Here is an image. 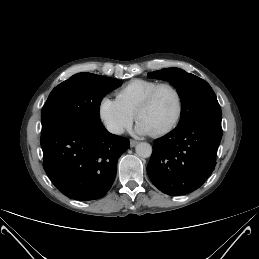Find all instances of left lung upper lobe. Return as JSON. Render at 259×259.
<instances>
[{
    "label": "left lung upper lobe",
    "instance_id": "5c2ea615",
    "mask_svg": "<svg viewBox=\"0 0 259 259\" xmlns=\"http://www.w3.org/2000/svg\"><path fill=\"white\" fill-rule=\"evenodd\" d=\"M148 76L167 80L181 99V117L177 127L197 120L221 123V109L210 85L203 79L179 68H168L148 73Z\"/></svg>",
    "mask_w": 259,
    "mask_h": 259
}]
</instances>
